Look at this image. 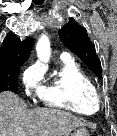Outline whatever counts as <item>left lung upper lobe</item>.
Here are the masks:
<instances>
[{
	"label": "left lung upper lobe",
	"mask_w": 117,
	"mask_h": 136,
	"mask_svg": "<svg viewBox=\"0 0 117 136\" xmlns=\"http://www.w3.org/2000/svg\"><path fill=\"white\" fill-rule=\"evenodd\" d=\"M59 36L62 42L75 53L92 72L100 78L102 76L101 63L98 59L95 46L90 41L84 27L70 18L68 24L61 28Z\"/></svg>",
	"instance_id": "left-lung-upper-lobe-1"
}]
</instances>
